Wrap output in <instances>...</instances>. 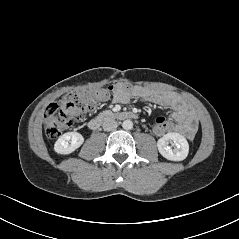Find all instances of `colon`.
<instances>
[{
  "mask_svg": "<svg viewBox=\"0 0 239 239\" xmlns=\"http://www.w3.org/2000/svg\"><path fill=\"white\" fill-rule=\"evenodd\" d=\"M118 88L128 90L127 85L109 88H92L72 91L66 94L59 104H49L44 110L45 131L48 137L56 138L67 128L94 112L99 105L108 100ZM152 130L157 138H164L173 129V124L165 116L152 120ZM193 139V138H192Z\"/></svg>",
  "mask_w": 239,
  "mask_h": 239,
  "instance_id": "1",
  "label": "colon"
}]
</instances>
